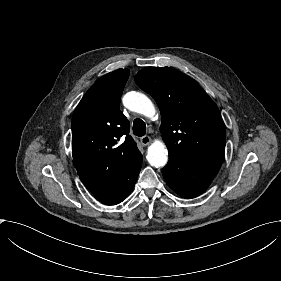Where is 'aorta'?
Listing matches in <instances>:
<instances>
[{
	"label": "aorta",
	"mask_w": 281,
	"mask_h": 281,
	"mask_svg": "<svg viewBox=\"0 0 281 281\" xmlns=\"http://www.w3.org/2000/svg\"><path fill=\"white\" fill-rule=\"evenodd\" d=\"M123 104L130 111L146 117H153L156 112L152 101L143 93L136 91L125 94ZM146 158L153 167L159 168L165 166L168 160V151L165 144L160 140L153 141L148 147Z\"/></svg>",
	"instance_id": "obj_1"
}]
</instances>
